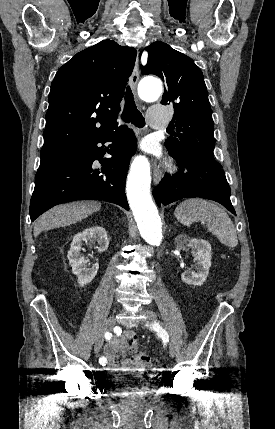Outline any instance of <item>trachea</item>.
<instances>
[{
	"label": "trachea",
	"mask_w": 275,
	"mask_h": 429,
	"mask_svg": "<svg viewBox=\"0 0 275 429\" xmlns=\"http://www.w3.org/2000/svg\"><path fill=\"white\" fill-rule=\"evenodd\" d=\"M121 118L127 123L131 122L136 127L142 128L145 126V119L136 107L133 94L129 86L127 87L125 94V106Z\"/></svg>",
	"instance_id": "1"
}]
</instances>
